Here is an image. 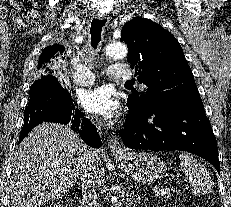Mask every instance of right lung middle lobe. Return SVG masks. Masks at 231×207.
<instances>
[{
	"label": "right lung middle lobe",
	"mask_w": 231,
	"mask_h": 207,
	"mask_svg": "<svg viewBox=\"0 0 231 207\" xmlns=\"http://www.w3.org/2000/svg\"><path fill=\"white\" fill-rule=\"evenodd\" d=\"M36 81H37V80H36ZM36 81H35V82H36ZM29 93H30V95L32 94V92H30V91H29Z\"/></svg>",
	"instance_id": "dd1d6c3e"
}]
</instances>
